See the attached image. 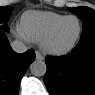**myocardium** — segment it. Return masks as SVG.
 <instances>
[{"mask_svg":"<svg viewBox=\"0 0 95 95\" xmlns=\"http://www.w3.org/2000/svg\"><path fill=\"white\" fill-rule=\"evenodd\" d=\"M75 18L79 22V33L76 37V39L68 46L66 47H56L52 45L51 40L54 36V34L58 31V29L62 26V24L70 19ZM83 35V22L82 20L76 16V15H66L64 16L60 21H58L54 26L50 28V30L43 36V38L40 41V47L42 50L50 55L54 56H61L65 55L69 52H71L79 43Z\"/></svg>","mask_w":95,"mask_h":95,"instance_id":"myocardium-1","label":"myocardium"}]
</instances>
